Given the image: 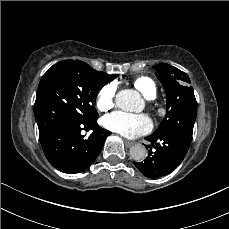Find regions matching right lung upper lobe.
I'll list each match as a JSON object with an SVG mask.
<instances>
[{
  "label": "right lung upper lobe",
  "instance_id": "1",
  "mask_svg": "<svg viewBox=\"0 0 229 229\" xmlns=\"http://www.w3.org/2000/svg\"><path fill=\"white\" fill-rule=\"evenodd\" d=\"M64 61H70L79 64L80 66L85 67L88 69V71L92 74V76L96 79L97 82L102 84L103 86L107 83L111 82L113 79H115L118 75H109L105 72L96 71L93 68H91L88 64L80 61V60H64Z\"/></svg>",
  "mask_w": 229,
  "mask_h": 229
}]
</instances>
